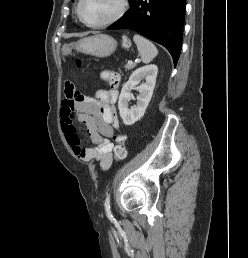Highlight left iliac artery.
Listing matches in <instances>:
<instances>
[{
    "label": "left iliac artery",
    "mask_w": 248,
    "mask_h": 258,
    "mask_svg": "<svg viewBox=\"0 0 248 258\" xmlns=\"http://www.w3.org/2000/svg\"><path fill=\"white\" fill-rule=\"evenodd\" d=\"M105 209L107 213H110V195H107L105 200Z\"/></svg>",
    "instance_id": "obj_1"
}]
</instances>
